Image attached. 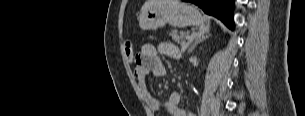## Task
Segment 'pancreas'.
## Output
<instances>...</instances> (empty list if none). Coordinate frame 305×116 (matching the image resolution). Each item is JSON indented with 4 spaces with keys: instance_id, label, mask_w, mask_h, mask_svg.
I'll list each match as a JSON object with an SVG mask.
<instances>
[{
    "instance_id": "pancreas-1",
    "label": "pancreas",
    "mask_w": 305,
    "mask_h": 116,
    "mask_svg": "<svg viewBox=\"0 0 305 116\" xmlns=\"http://www.w3.org/2000/svg\"><path fill=\"white\" fill-rule=\"evenodd\" d=\"M169 36L172 37L173 41L180 43L182 50L187 48L186 37H190L187 33H178L177 30H172Z\"/></svg>"
}]
</instances>
